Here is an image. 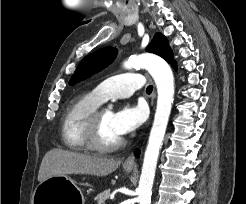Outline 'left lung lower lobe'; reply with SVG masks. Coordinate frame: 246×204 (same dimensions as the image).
<instances>
[{"mask_svg":"<svg viewBox=\"0 0 246 204\" xmlns=\"http://www.w3.org/2000/svg\"><path fill=\"white\" fill-rule=\"evenodd\" d=\"M172 65L175 67L176 66L175 65V62ZM139 154H140V152L139 151H136V153H135L136 157H139Z\"/></svg>","mask_w":246,"mask_h":204,"instance_id":"1","label":"left lung lower lobe"}]
</instances>
